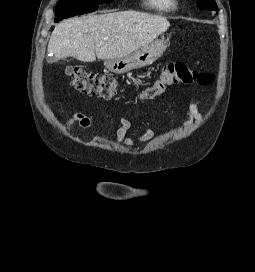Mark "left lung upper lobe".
Masks as SVG:
<instances>
[{"label":"left lung upper lobe","instance_id":"1","mask_svg":"<svg viewBox=\"0 0 255 272\" xmlns=\"http://www.w3.org/2000/svg\"><path fill=\"white\" fill-rule=\"evenodd\" d=\"M196 1H197L198 7L201 9H206V10H210V11L217 10V5L214 0H196Z\"/></svg>","mask_w":255,"mask_h":272}]
</instances>
